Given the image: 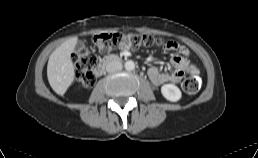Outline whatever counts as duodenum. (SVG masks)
<instances>
[{
    "mask_svg": "<svg viewBox=\"0 0 258 158\" xmlns=\"http://www.w3.org/2000/svg\"><path fill=\"white\" fill-rule=\"evenodd\" d=\"M122 58L119 57V56H108L106 57L105 59H103L100 63H98L94 70H93V73L96 77H99L101 76L105 69L107 68V66L111 65V64H114V63H117L121 60Z\"/></svg>",
    "mask_w": 258,
    "mask_h": 158,
    "instance_id": "410a0bca",
    "label": "duodenum"
}]
</instances>
